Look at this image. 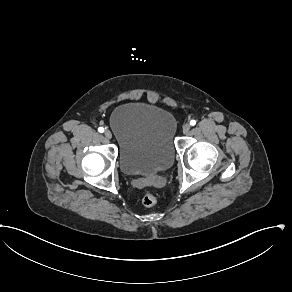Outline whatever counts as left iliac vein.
Returning a JSON list of instances; mask_svg holds the SVG:
<instances>
[{"instance_id": "obj_1", "label": "left iliac vein", "mask_w": 292, "mask_h": 292, "mask_svg": "<svg viewBox=\"0 0 292 292\" xmlns=\"http://www.w3.org/2000/svg\"><path fill=\"white\" fill-rule=\"evenodd\" d=\"M190 128H191L190 124H188V123L184 124L182 127L183 133L187 134L189 132Z\"/></svg>"}]
</instances>
